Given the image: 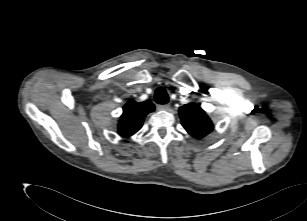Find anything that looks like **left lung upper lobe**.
Segmentation results:
<instances>
[{"instance_id": "obj_1", "label": "left lung upper lobe", "mask_w": 307, "mask_h": 221, "mask_svg": "<svg viewBox=\"0 0 307 221\" xmlns=\"http://www.w3.org/2000/svg\"><path fill=\"white\" fill-rule=\"evenodd\" d=\"M181 122L186 131L196 139H201L213 130V123L203 109L194 103L179 109Z\"/></svg>"}]
</instances>
